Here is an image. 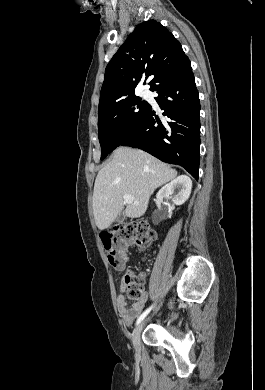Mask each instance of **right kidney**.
Returning a JSON list of instances; mask_svg holds the SVG:
<instances>
[{"instance_id": "1", "label": "right kidney", "mask_w": 265, "mask_h": 390, "mask_svg": "<svg viewBox=\"0 0 265 390\" xmlns=\"http://www.w3.org/2000/svg\"><path fill=\"white\" fill-rule=\"evenodd\" d=\"M191 189V179L186 175H181L163 186L157 194V199L162 200L164 197H169L175 205L180 206L188 200ZM175 190H177V194L174 195Z\"/></svg>"}]
</instances>
